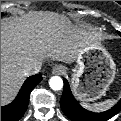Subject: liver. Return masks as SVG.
Instances as JSON below:
<instances>
[{"label": "liver", "mask_w": 121, "mask_h": 121, "mask_svg": "<svg viewBox=\"0 0 121 121\" xmlns=\"http://www.w3.org/2000/svg\"><path fill=\"white\" fill-rule=\"evenodd\" d=\"M69 29L54 14L1 21V105L12 100L23 82L25 61L72 62L90 44L84 33L67 35Z\"/></svg>", "instance_id": "1"}]
</instances>
